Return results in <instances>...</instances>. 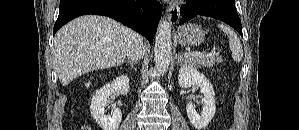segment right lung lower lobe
<instances>
[{"mask_svg": "<svg viewBox=\"0 0 299 130\" xmlns=\"http://www.w3.org/2000/svg\"><path fill=\"white\" fill-rule=\"evenodd\" d=\"M87 14L113 18L153 40L162 7L157 0H61L53 34L70 20Z\"/></svg>", "mask_w": 299, "mask_h": 130, "instance_id": "1", "label": "right lung lower lobe"}]
</instances>
